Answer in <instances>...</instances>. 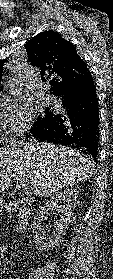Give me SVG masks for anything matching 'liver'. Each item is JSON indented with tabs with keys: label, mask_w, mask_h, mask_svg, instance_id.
<instances>
[{
	"label": "liver",
	"mask_w": 113,
	"mask_h": 279,
	"mask_svg": "<svg viewBox=\"0 0 113 279\" xmlns=\"http://www.w3.org/2000/svg\"><path fill=\"white\" fill-rule=\"evenodd\" d=\"M93 171L90 156L62 145L12 140L0 149V193L11 186L9 172L27 179L36 196H45L90 179Z\"/></svg>",
	"instance_id": "obj_1"
}]
</instances>
